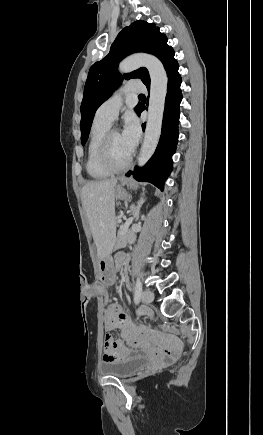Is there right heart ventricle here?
<instances>
[{"instance_id":"obj_1","label":"right heart ventricle","mask_w":263,"mask_h":435,"mask_svg":"<svg viewBox=\"0 0 263 435\" xmlns=\"http://www.w3.org/2000/svg\"><path fill=\"white\" fill-rule=\"evenodd\" d=\"M110 126L111 123L97 119L96 117L93 120L87 144L85 163L86 172L92 179H104L111 174V172L105 170L98 161V148L100 142Z\"/></svg>"}]
</instances>
